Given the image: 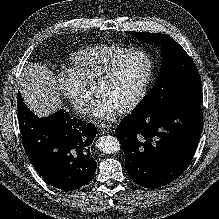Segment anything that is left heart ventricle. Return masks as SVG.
<instances>
[{
	"label": "left heart ventricle",
	"instance_id": "left-heart-ventricle-1",
	"mask_svg": "<svg viewBox=\"0 0 219 219\" xmlns=\"http://www.w3.org/2000/svg\"><path fill=\"white\" fill-rule=\"evenodd\" d=\"M148 69L142 55L125 60L105 84L96 87V93L113 102L119 109L128 104L137 94Z\"/></svg>",
	"mask_w": 219,
	"mask_h": 219
}]
</instances>
